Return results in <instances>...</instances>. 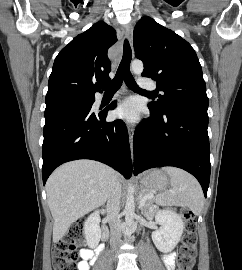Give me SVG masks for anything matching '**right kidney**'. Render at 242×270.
Returning <instances> with one entry per match:
<instances>
[{
  "mask_svg": "<svg viewBox=\"0 0 242 270\" xmlns=\"http://www.w3.org/2000/svg\"><path fill=\"white\" fill-rule=\"evenodd\" d=\"M100 213H104V210H97L92 213L84 222V236L85 240L90 248H94L98 245L101 238Z\"/></svg>",
  "mask_w": 242,
  "mask_h": 270,
  "instance_id": "obj_1",
  "label": "right kidney"
}]
</instances>
